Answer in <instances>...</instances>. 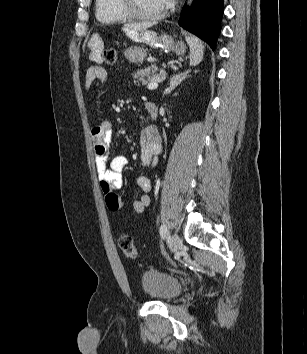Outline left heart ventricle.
<instances>
[{"label":"left heart ventricle","mask_w":307,"mask_h":354,"mask_svg":"<svg viewBox=\"0 0 307 354\" xmlns=\"http://www.w3.org/2000/svg\"><path fill=\"white\" fill-rule=\"evenodd\" d=\"M134 5L143 14H155L163 9L160 0H134Z\"/></svg>","instance_id":"b2bd125f"}]
</instances>
